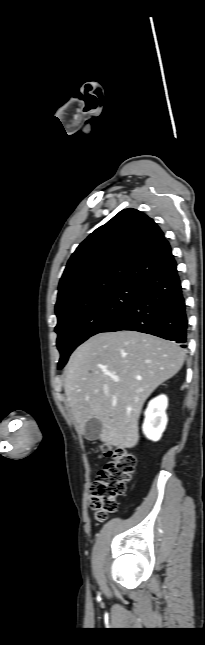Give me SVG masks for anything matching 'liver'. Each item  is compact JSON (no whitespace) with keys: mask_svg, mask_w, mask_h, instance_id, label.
Listing matches in <instances>:
<instances>
[{"mask_svg":"<svg viewBox=\"0 0 205 645\" xmlns=\"http://www.w3.org/2000/svg\"><path fill=\"white\" fill-rule=\"evenodd\" d=\"M178 344L136 331L99 333L81 344L65 370V394L76 430L92 418L102 423L99 439L132 448L139 440L144 402L183 366Z\"/></svg>","mask_w":205,"mask_h":645,"instance_id":"1","label":"liver"}]
</instances>
